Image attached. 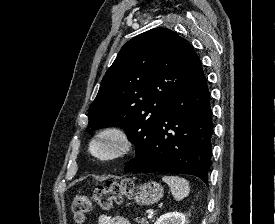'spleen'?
Wrapping results in <instances>:
<instances>
[{"label": "spleen", "mask_w": 275, "mask_h": 224, "mask_svg": "<svg viewBox=\"0 0 275 224\" xmlns=\"http://www.w3.org/2000/svg\"><path fill=\"white\" fill-rule=\"evenodd\" d=\"M162 180L168 184L171 189L172 195L177 201L187 197L190 192L189 182L178 176H163Z\"/></svg>", "instance_id": "obj_1"}]
</instances>
